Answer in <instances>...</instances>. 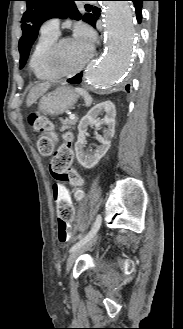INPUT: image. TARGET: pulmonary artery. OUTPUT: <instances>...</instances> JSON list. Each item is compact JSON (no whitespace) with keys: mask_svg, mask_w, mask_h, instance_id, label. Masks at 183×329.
<instances>
[{"mask_svg":"<svg viewBox=\"0 0 183 329\" xmlns=\"http://www.w3.org/2000/svg\"><path fill=\"white\" fill-rule=\"evenodd\" d=\"M42 32L59 34V19L58 18H50L44 22L41 28Z\"/></svg>","mask_w":183,"mask_h":329,"instance_id":"e3ab8cb5","label":"pulmonary artery"}]
</instances>
